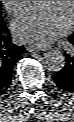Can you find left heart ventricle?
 Wrapping results in <instances>:
<instances>
[{"label": "left heart ventricle", "instance_id": "left-heart-ventricle-1", "mask_svg": "<svg viewBox=\"0 0 74 122\" xmlns=\"http://www.w3.org/2000/svg\"><path fill=\"white\" fill-rule=\"evenodd\" d=\"M46 6H57L64 17L71 19V1H44Z\"/></svg>", "mask_w": 74, "mask_h": 122}]
</instances>
